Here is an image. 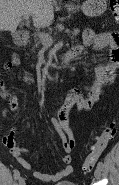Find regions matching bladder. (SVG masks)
<instances>
[{"instance_id": "bladder-1", "label": "bladder", "mask_w": 119, "mask_h": 185, "mask_svg": "<svg viewBox=\"0 0 119 185\" xmlns=\"http://www.w3.org/2000/svg\"><path fill=\"white\" fill-rule=\"evenodd\" d=\"M55 185H77V184L72 181H60V182L55 183Z\"/></svg>"}]
</instances>
